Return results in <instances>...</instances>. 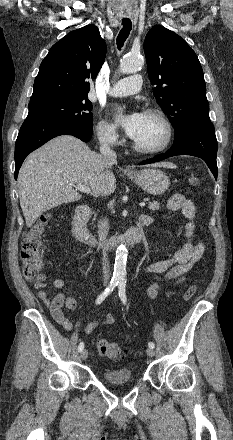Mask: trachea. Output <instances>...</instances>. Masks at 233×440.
I'll list each match as a JSON object with an SVG mask.
<instances>
[{
  "mask_svg": "<svg viewBox=\"0 0 233 440\" xmlns=\"http://www.w3.org/2000/svg\"><path fill=\"white\" fill-rule=\"evenodd\" d=\"M122 29L120 30L118 36H117V46L119 49H121L124 45V42L128 38L130 31L132 29V22L130 19H123L122 20Z\"/></svg>",
  "mask_w": 233,
  "mask_h": 440,
  "instance_id": "3493384b",
  "label": "trachea"
}]
</instances>
